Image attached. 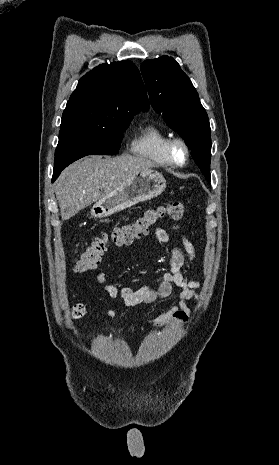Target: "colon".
<instances>
[{"label":"colon","instance_id":"colon-1","mask_svg":"<svg viewBox=\"0 0 279 465\" xmlns=\"http://www.w3.org/2000/svg\"><path fill=\"white\" fill-rule=\"evenodd\" d=\"M185 215V207L180 202H173L166 205L158 206L154 209L145 211L134 221L118 226L109 234H103L97 237L85 250L77 257L74 263V270L78 273H84L94 269L99 263L101 257L110 245L123 246L132 243L135 239L146 235L149 228L159 219L169 216L174 220H181ZM75 318L83 315V307L75 306L73 310Z\"/></svg>","mask_w":279,"mask_h":465}]
</instances>
